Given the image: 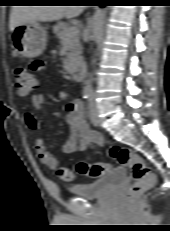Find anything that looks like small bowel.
<instances>
[{
	"instance_id": "1",
	"label": "small bowel",
	"mask_w": 170,
	"mask_h": 231,
	"mask_svg": "<svg viewBox=\"0 0 170 231\" xmlns=\"http://www.w3.org/2000/svg\"><path fill=\"white\" fill-rule=\"evenodd\" d=\"M29 69L33 74L43 73L46 69L45 62L35 60L29 65ZM32 104L35 110L42 111L45 104V98L41 94H35L32 97ZM64 119L70 126V134L63 146V152L66 154L81 152L86 150L91 143L102 144L103 138L97 132L91 130L87 125L83 111L84 105L81 100L74 99L68 102L64 108ZM25 123L30 129H37L39 124L36 117L27 112L24 116ZM35 149L39 160L51 169L56 168L57 161L52 153H50L45 144V140L39 137L35 140Z\"/></svg>"
}]
</instances>
